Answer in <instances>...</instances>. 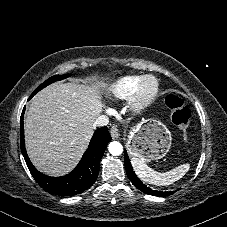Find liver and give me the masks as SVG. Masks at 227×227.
Instances as JSON below:
<instances>
[{
  "label": "liver",
  "instance_id": "6515ba94",
  "mask_svg": "<svg viewBox=\"0 0 227 227\" xmlns=\"http://www.w3.org/2000/svg\"><path fill=\"white\" fill-rule=\"evenodd\" d=\"M103 87L101 81L60 83L33 97L24 128L27 153L38 170L62 176L78 164L105 106Z\"/></svg>",
  "mask_w": 227,
  "mask_h": 227
}]
</instances>
